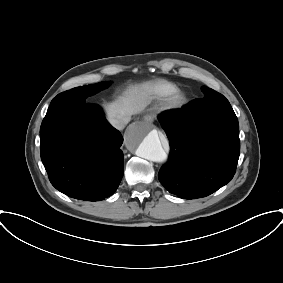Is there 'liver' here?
<instances>
[{
    "mask_svg": "<svg viewBox=\"0 0 283 283\" xmlns=\"http://www.w3.org/2000/svg\"><path fill=\"white\" fill-rule=\"evenodd\" d=\"M146 90V85L142 86L140 89L135 87L130 89L124 97L108 104L106 106L108 119L131 117L133 114L143 110L147 104Z\"/></svg>",
    "mask_w": 283,
    "mask_h": 283,
    "instance_id": "6515ba94",
    "label": "liver"
}]
</instances>
